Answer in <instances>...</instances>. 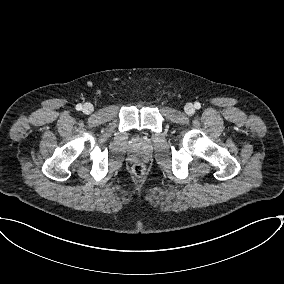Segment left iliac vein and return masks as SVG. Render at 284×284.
<instances>
[{
  "label": "left iliac vein",
  "instance_id": "1",
  "mask_svg": "<svg viewBox=\"0 0 284 284\" xmlns=\"http://www.w3.org/2000/svg\"><path fill=\"white\" fill-rule=\"evenodd\" d=\"M185 112L188 114V115H192L194 114L195 112V108L194 106L191 104V103H187L185 105V108H184Z\"/></svg>",
  "mask_w": 284,
  "mask_h": 284
}]
</instances>
